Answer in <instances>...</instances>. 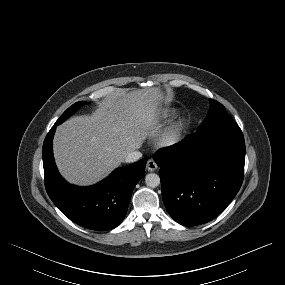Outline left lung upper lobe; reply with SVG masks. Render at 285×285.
Segmentation results:
<instances>
[{"label":"left lung upper lobe","mask_w":285,"mask_h":285,"mask_svg":"<svg viewBox=\"0 0 285 285\" xmlns=\"http://www.w3.org/2000/svg\"><path fill=\"white\" fill-rule=\"evenodd\" d=\"M210 110L203 123L199 126L198 136H212L220 134L239 133L241 129L226 112L225 107L219 102L210 99Z\"/></svg>","instance_id":"obj_1"}]
</instances>
